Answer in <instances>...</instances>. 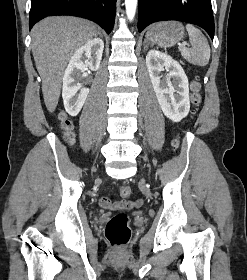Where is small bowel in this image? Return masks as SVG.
I'll use <instances>...</instances> for the list:
<instances>
[{
    "label": "small bowel",
    "instance_id": "obj_1",
    "mask_svg": "<svg viewBox=\"0 0 247 280\" xmlns=\"http://www.w3.org/2000/svg\"><path fill=\"white\" fill-rule=\"evenodd\" d=\"M141 204H142L141 200H137L135 202H124V201L112 202L108 198H102L100 200V205L102 207L109 208V209L133 208V207H138Z\"/></svg>",
    "mask_w": 247,
    "mask_h": 280
}]
</instances>
